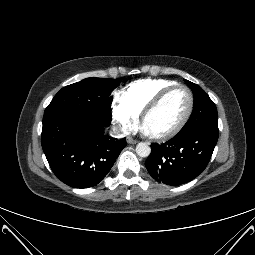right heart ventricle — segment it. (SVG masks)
<instances>
[{
    "label": "right heart ventricle",
    "instance_id": "1",
    "mask_svg": "<svg viewBox=\"0 0 255 255\" xmlns=\"http://www.w3.org/2000/svg\"><path fill=\"white\" fill-rule=\"evenodd\" d=\"M175 84L177 83L165 79L138 80L124 88L121 99L136 113L141 114L161 91Z\"/></svg>",
    "mask_w": 255,
    "mask_h": 255
}]
</instances>
